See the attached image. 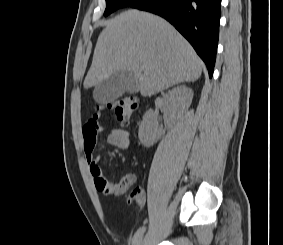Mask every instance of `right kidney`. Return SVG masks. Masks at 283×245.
<instances>
[{"label":"right kidney","mask_w":283,"mask_h":245,"mask_svg":"<svg viewBox=\"0 0 283 245\" xmlns=\"http://www.w3.org/2000/svg\"><path fill=\"white\" fill-rule=\"evenodd\" d=\"M193 91L186 86H177L168 91L163 97L164 110L168 119L181 115L191 105ZM164 130L159 127L157 115L149 109L143 116V120L139 127V140L145 147L155 144Z\"/></svg>","instance_id":"obj_1"}]
</instances>
